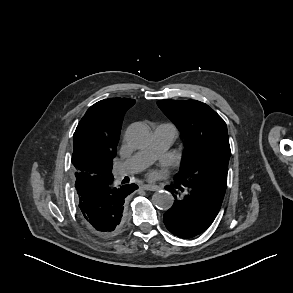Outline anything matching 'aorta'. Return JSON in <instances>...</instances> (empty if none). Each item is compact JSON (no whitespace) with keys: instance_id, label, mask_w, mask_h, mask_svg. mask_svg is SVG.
Masks as SVG:
<instances>
[{"instance_id":"obj_1","label":"aorta","mask_w":293,"mask_h":293,"mask_svg":"<svg viewBox=\"0 0 293 293\" xmlns=\"http://www.w3.org/2000/svg\"><path fill=\"white\" fill-rule=\"evenodd\" d=\"M151 132L148 126L136 123L129 127L127 131V142L135 148L146 146L150 141ZM153 204L161 209L168 210L172 207L174 198L167 191H158L152 197Z\"/></svg>"}]
</instances>
